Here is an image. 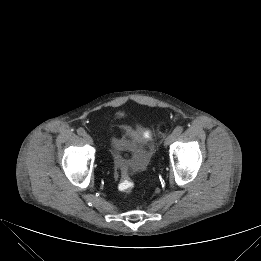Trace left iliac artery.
<instances>
[{"label":"left iliac artery","mask_w":261,"mask_h":261,"mask_svg":"<svg viewBox=\"0 0 261 261\" xmlns=\"http://www.w3.org/2000/svg\"><path fill=\"white\" fill-rule=\"evenodd\" d=\"M183 132V127L182 126H177L173 133L176 135V136H179L181 133Z\"/></svg>","instance_id":"44dca946"}]
</instances>
